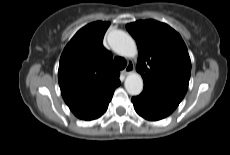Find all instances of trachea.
Segmentation results:
<instances>
[{
	"mask_svg": "<svg viewBox=\"0 0 230 155\" xmlns=\"http://www.w3.org/2000/svg\"><path fill=\"white\" fill-rule=\"evenodd\" d=\"M114 65L117 69L122 70L126 67L127 61L122 57L116 56L114 58Z\"/></svg>",
	"mask_w": 230,
	"mask_h": 155,
	"instance_id": "trachea-1",
	"label": "trachea"
}]
</instances>
